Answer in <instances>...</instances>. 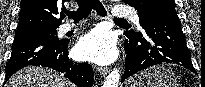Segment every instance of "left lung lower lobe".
<instances>
[{
    "label": "left lung lower lobe",
    "instance_id": "0a47b994",
    "mask_svg": "<svg viewBox=\"0 0 205 87\" xmlns=\"http://www.w3.org/2000/svg\"><path fill=\"white\" fill-rule=\"evenodd\" d=\"M144 32L125 41V72L121 82L136 72L161 63H175L195 72L175 9L164 8L140 20Z\"/></svg>",
    "mask_w": 205,
    "mask_h": 87
}]
</instances>
